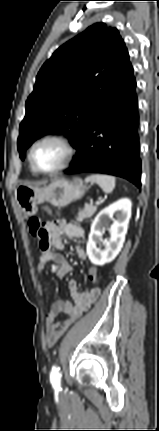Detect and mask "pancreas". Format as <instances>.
<instances>
[{
	"instance_id": "cf45deb5",
	"label": "pancreas",
	"mask_w": 159,
	"mask_h": 431,
	"mask_svg": "<svg viewBox=\"0 0 159 431\" xmlns=\"http://www.w3.org/2000/svg\"><path fill=\"white\" fill-rule=\"evenodd\" d=\"M97 207L92 205H85L83 209L80 210L77 222H82L84 219L91 218L96 212Z\"/></svg>"
}]
</instances>
